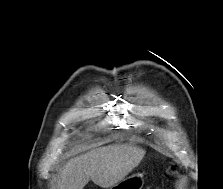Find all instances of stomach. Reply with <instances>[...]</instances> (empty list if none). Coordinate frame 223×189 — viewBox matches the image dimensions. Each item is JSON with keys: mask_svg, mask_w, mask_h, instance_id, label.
<instances>
[{"mask_svg": "<svg viewBox=\"0 0 223 189\" xmlns=\"http://www.w3.org/2000/svg\"><path fill=\"white\" fill-rule=\"evenodd\" d=\"M143 182L142 174H134L124 178L117 184L113 185L110 189H142Z\"/></svg>", "mask_w": 223, "mask_h": 189, "instance_id": "1", "label": "stomach"}]
</instances>
